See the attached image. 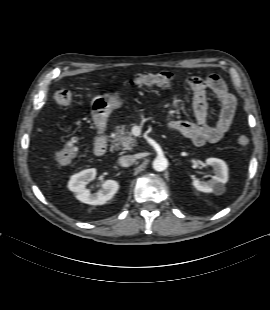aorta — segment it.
<instances>
[{"instance_id":"obj_1","label":"aorta","mask_w":270,"mask_h":310,"mask_svg":"<svg viewBox=\"0 0 270 310\" xmlns=\"http://www.w3.org/2000/svg\"><path fill=\"white\" fill-rule=\"evenodd\" d=\"M153 169L158 171V172H162L164 171L167 166H168V161L165 157L163 156H158L154 159L153 161Z\"/></svg>"}]
</instances>
